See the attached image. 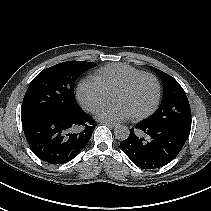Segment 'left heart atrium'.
Here are the masks:
<instances>
[{
    "label": "left heart atrium",
    "mask_w": 211,
    "mask_h": 211,
    "mask_svg": "<svg viewBox=\"0 0 211 211\" xmlns=\"http://www.w3.org/2000/svg\"><path fill=\"white\" fill-rule=\"evenodd\" d=\"M96 116L103 121L119 122L130 118L132 114L123 104L112 103L101 108Z\"/></svg>",
    "instance_id": "39dd6f15"
}]
</instances>
